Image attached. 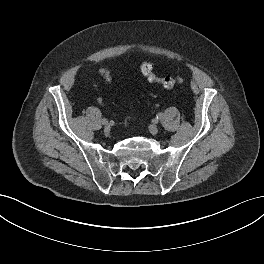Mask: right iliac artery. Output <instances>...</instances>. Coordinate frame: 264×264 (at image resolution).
Listing matches in <instances>:
<instances>
[{
    "label": "right iliac artery",
    "mask_w": 264,
    "mask_h": 264,
    "mask_svg": "<svg viewBox=\"0 0 264 264\" xmlns=\"http://www.w3.org/2000/svg\"><path fill=\"white\" fill-rule=\"evenodd\" d=\"M102 123H103V124H107V123H108V120H107L106 118H103V119H102Z\"/></svg>",
    "instance_id": "obj_1"
}]
</instances>
